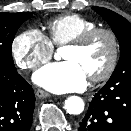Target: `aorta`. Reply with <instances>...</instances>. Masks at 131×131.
<instances>
[{
  "label": "aorta",
  "mask_w": 131,
  "mask_h": 131,
  "mask_svg": "<svg viewBox=\"0 0 131 131\" xmlns=\"http://www.w3.org/2000/svg\"><path fill=\"white\" fill-rule=\"evenodd\" d=\"M84 101L78 96H70L65 100V109L67 113L72 115L81 114L84 110Z\"/></svg>",
  "instance_id": "762f6f07"
}]
</instances>
